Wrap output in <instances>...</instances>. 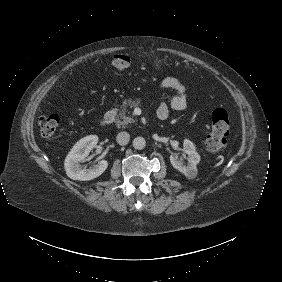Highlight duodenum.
Instances as JSON below:
<instances>
[{"label": "duodenum", "instance_id": "410a0bca", "mask_svg": "<svg viewBox=\"0 0 282 282\" xmlns=\"http://www.w3.org/2000/svg\"><path fill=\"white\" fill-rule=\"evenodd\" d=\"M117 112H118V110H117L116 107H113L112 109L107 111V113L102 118V121H101L102 125L108 126V125L112 124L114 122V120L116 119Z\"/></svg>", "mask_w": 282, "mask_h": 282}]
</instances>
